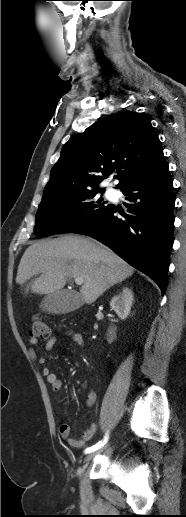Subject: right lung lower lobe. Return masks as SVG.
<instances>
[{
	"label": "right lung lower lobe",
	"instance_id": "obj_1",
	"mask_svg": "<svg viewBox=\"0 0 186 517\" xmlns=\"http://www.w3.org/2000/svg\"><path fill=\"white\" fill-rule=\"evenodd\" d=\"M128 215L120 219L116 208L100 214L72 233L90 236L110 247L136 269L151 277L162 294L173 245L175 198L167 163L158 171L121 189Z\"/></svg>",
	"mask_w": 186,
	"mask_h": 517
}]
</instances>
